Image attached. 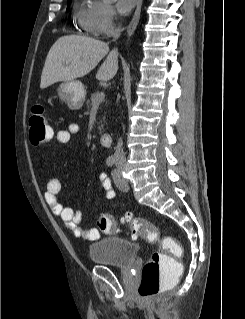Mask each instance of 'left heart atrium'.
Returning a JSON list of instances; mask_svg holds the SVG:
<instances>
[{"mask_svg": "<svg viewBox=\"0 0 245 319\" xmlns=\"http://www.w3.org/2000/svg\"><path fill=\"white\" fill-rule=\"evenodd\" d=\"M137 0H116V7L121 14L129 13Z\"/></svg>", "mask_w": 245, "mask_h": 319, "instance_id": "left-heart-atrium-1", "label": "left heart atrium"}]
</instances>
